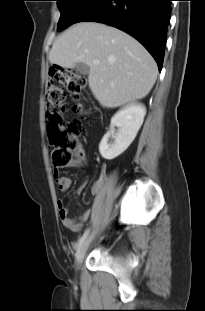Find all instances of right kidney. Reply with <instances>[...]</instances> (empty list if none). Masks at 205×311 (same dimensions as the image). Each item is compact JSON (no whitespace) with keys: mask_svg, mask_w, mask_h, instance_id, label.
<instances>
[{"mask_svg":"<svg viewBox=\"0 0 205 311\" xmlns=\"http://www.w3.org/2000/svg\"><path fill=\"white\" fill-rule=\"evenodd\" d=\"M146 109L141 104H130L119 110L111 119L110 130L104 135L99 151L104 159L112 160L121 155L135 139L142 123ZM115 127H118L115 132ZM109 138H113L109 144Z\"/></svg>","mask_w":205,"mask_h":311,"instance_id":"ca27d5eb","label":"right kidney"}]
</instances>
